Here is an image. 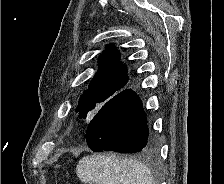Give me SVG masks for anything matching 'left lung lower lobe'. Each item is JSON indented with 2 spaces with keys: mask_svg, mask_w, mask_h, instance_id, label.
Segmentation results:
<instances>
[{
  "mask_svg": "<svg viewBox=\"0 0 224 184\" xmlns=\"http://www.w3.org/2000/svg\"><path fill=\"white\" fill-rule=\"evenodd\" d=\"M86 142L95 152H154L158 147L149 137L142 102L131 89L116 94L99 109L87 127Z\"/></svg>",
  "mask_w": 224,
  "mask_h": 184,
  "instance_id": "left-lung-lower-lobe-1",
  "label": "left lung lower lobe"
}]
</instances>
